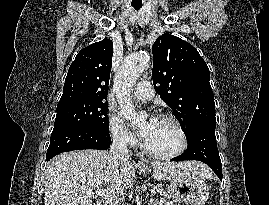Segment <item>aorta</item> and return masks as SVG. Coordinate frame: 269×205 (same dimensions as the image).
I'll return each mask as SVG.
<instances>
[{
  "label": "aorta",
  "mask_w": 269,
  "mask_h": 205,
  "mask_svg": "<svg viewBox=\"0 0 269 205\" xmlns=\"http://www.w3.org/2000/svg\"><path fill=\"white\" fill-rule=\"evenodd\" d=\"M149 62L150 56L147 53L130 54L124 59L117 74L115 90L119 99L120 114L127 120H135L138 117L131 103L129 93Z\"/></svg>",
  "instance_id": "762f6f07"
}]
</instances>
